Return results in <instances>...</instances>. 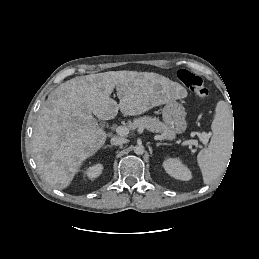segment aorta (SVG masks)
<instances>
[{
	"mask_svg": "<svg viewBox=\"0 0 259 259\" xmlns=\"http://www.w3.org/2000/svg\"><path fill=\"white\" fill-rule=\"evenodd\" d=\"M134 152L137 155H142L145 152L144 146L143 145H136L134 147Z\"/></svg>",
	"mask_w": 259,
	"mask_h": 259,
	"instance_id": "1",
	"label": "aorta"
}]
</instances>
